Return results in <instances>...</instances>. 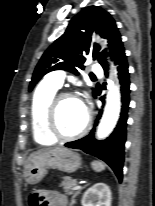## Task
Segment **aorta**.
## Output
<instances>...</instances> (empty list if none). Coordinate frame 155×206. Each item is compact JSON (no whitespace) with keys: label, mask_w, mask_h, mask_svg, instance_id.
Wrapping results in <instances>:
<instances>
[{"label":"aorta","mask_w":155,"mask_h":206,"mask_svg":"<svg viewBox=\"0 0 155 206\" xmlns=\"http://www.w3.org/2000/svg\"><path fill=\"white\" fill-rule=\"evenodd\" d=\"M107 103L97 129V137L103 139L114 129L120 113V93L118 86L111 80L108 87Z\"/></svg>","instance_id":"aorta-1"}]
</instances>
